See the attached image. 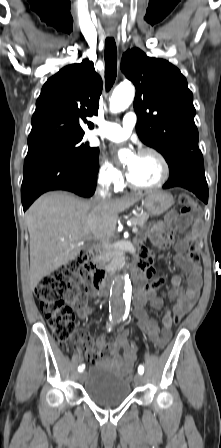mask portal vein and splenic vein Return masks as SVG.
Returning <instances> with one entry per match:
<instances>
[{"mask_svg": "<svg viewBox=\"0 0 221 448\" xmlns=\"http://www.w3.org/2000/svg\"><path fill=\"white\" fill-rule=\"evenodd\" d=\"M137 231H138V228H137L136 226H133V227H132V232H133V233H136Z\"/></svg>", "mask_w": 221, "mask_h": 448, "instance_id": "1", "label": "portal vein and splenic vein"}]
</instances>
